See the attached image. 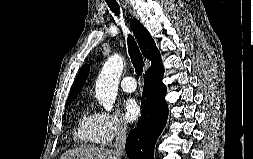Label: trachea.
I'll list each match as a JSON object with an SVG mask.
<instances>
[{"label": "trachea", "mask_w": 253, "mask_h": 159, "mask_svg": "<svg viewBox=\"0 0 253 159\" xmlns=\"http://www.w3.org/2000/svg\"><path fill=\"white\" fill-rule=\"evenodd\" d=\"M108 6L110 9L115 12L116 15H119V5L115 0H106ZM128 42V52L132 61V64L135 68V72L138 76L142 75L143 72V66H144V61H143V56L139 50V47L134 40L132 36H129L127 39Z\"/></svg>", "instance_id": "obj_1"}]
</instances>
